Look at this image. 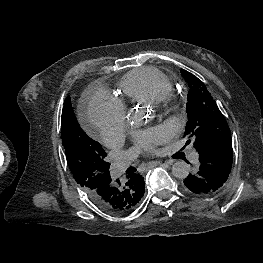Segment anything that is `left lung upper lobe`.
<instances>
[{
	"label": "left lung upper lobe",
	"instance_id": "obj_1",
	"mask_svg": "<svg viewBox=\"0 0 263 263\" xmlns=\"http://www.w3.org/2000/svg\"><path fill=\"white\" fill-rule=\"evenodd\" d=\"M188 83L186 111L188 122L184 137L194 138L197 151L222 139H231L230 129L204 83L186 70H181Z\"/></svg>",
	"mask_w": 263,
	"mask_h": 263
}]
</instances>
